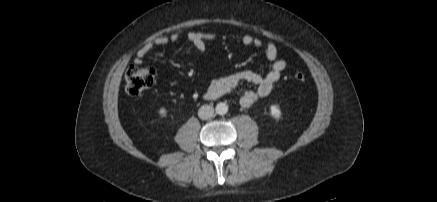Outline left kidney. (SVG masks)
<instances>
[{"label": "left kidney", "instance_id": "obj_1", "mask_svg": "<svg viewBox=\"0 0 437 202\" xmlns=\"http://www.w3.org/2000/svg\"><path fill=\"white\" fill-rule=\"evenodd\" d=\"M270 113L275 118H279L281 116V111L276 105L270 106Z\"/></svg>", "mask_w": 437, "mask_h": 202}]
</instances>
